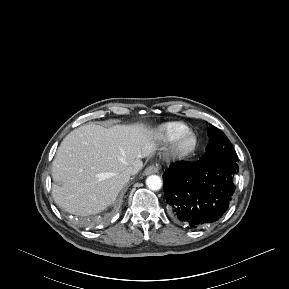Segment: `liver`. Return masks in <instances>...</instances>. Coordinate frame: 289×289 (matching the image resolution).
<instances>
[{"label": "liver", "mask_w": 289, "mask_h": 289, "mask_svg": "<svg viewBox=\"0 0 289 289\" xmlns=\"http://www.w3.org/2000/svg\"><path fill=\"white\" fill-rule=\"evenodd\" d=\"M152 131L142 123L104 128L86 124L61 142L52 163V196L58 206L80 216L96 214L112 204L142 158L155 150ZM135 173V174H136Z\"/></svg>", "instance_id": "liver-1"}]
</instances>
